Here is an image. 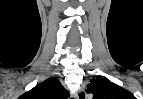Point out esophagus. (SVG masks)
<instances>
[{
    "label": "esophagus",
    "instance_id": "obj_1",
    "mask_svg": "<svg viewBox=\"0 0 143 99\" xmlns=\"http://www.w3.org/2000/svg\"><path fill=\"white\" fill-rule=\"evenodd\" d=\"M78 99H86V93L84 89H80L78 92Z\"/></svg>",
    "mask_w": 143,
    "mask_h": 99
}]
</instances>
